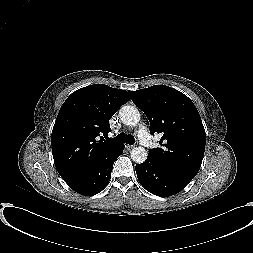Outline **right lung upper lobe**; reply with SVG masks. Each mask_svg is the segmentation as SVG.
<instances>
[{
    "mask_svg": "<svg viewBox=\"0 0 253 253\" xmlns=\"http://www.w3.org/2000/svg\"><path fill=\"white\" fill-rule=\"evenodd\" d=\"M130 98V91L95 84L66 99L51 136L54 163L63 179L89 170L120 144L103 136L108 138L110 118Z\"/></svg>",
    "mask_w": 253,
    "mask_h": 253,
    "instance_id": "cb5924a9",
    "label": "right lung upper lobe"
}]
</instances>
